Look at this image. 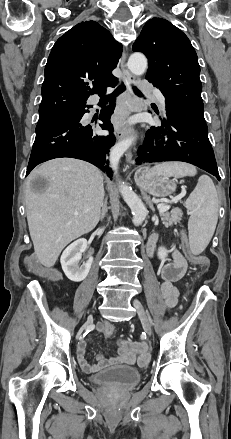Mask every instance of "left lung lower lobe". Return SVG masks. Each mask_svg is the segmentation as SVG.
I'll use <instances>...</instances> for the list:
<instances>
[{"mask_svg":"<svg viewBox=\"0 0 231 439\" xmlns=\"http://www.w3.org/2000/svg\"><path fill=\"white\" fill-rule=\"evenodd\" d=\"M167 104V118L161 127H152L146 141L139 147L136 165L162 161L188 162L220 180L208 128L187 112Z\"/></svg>","mask_w":231,"mask_h":439,"instance_id":"left-lung-lower-lobe-1","label":"left lung lower lobe"}]
</instances>
